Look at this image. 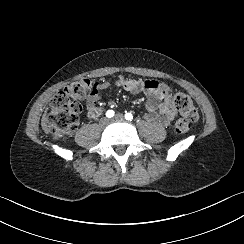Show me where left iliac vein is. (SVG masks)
Returning <instances> with one entry per match:
<instances>
[{"instance_id": "1", "label": "left iliac vein", "mask_w": 244, "mask_h": 244, "mask_svg": "<svg viewBox=\"0 0 244 244\" xmlns=\"http://www.w3.org/2000/svg\"><path fill=\"white\" fill-rule=\"evenodd\" d=\"M113 121H123L124 117L122 114L118 113L115 115V117L112 119Z\"/></svg>"}]
</instances>
